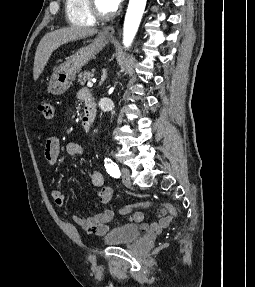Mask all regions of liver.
<instances>
[{
    "mask_svg": "<svg viewBox=\"0 0 255 287\" xmlns=\"http://www.w3.org/2000/svg\"><path fill=\"white\" fill-rule=\"evenodd\" d=\"M97 32L96 28H76V26H71V28H61V30L45 34L42 40H40L35 54L34 80H38L54 50H57L63 44H68V42H76V40H83V38L94 36Z\"/></svg>",
    "mask_w": 255,
    "mask_h": 287,
    "instance_id": "6515ba94",
    "label": "liver"
}]
</instances>
